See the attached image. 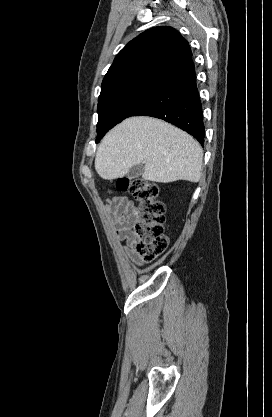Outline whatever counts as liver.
I'll use <instances>...</instances> for the list:
<instances>
[{"label": "liver", "mask_w": 272, "mask_h": 417, "mask_svg": "<svg viewBox=\"0 0 272 417\" xmlns=\"http://www.w3.org/2000/svg\"><path fill=\"white\" fill-rule=\"evenodd\" d=\"M144 164V180L198 182L203 150L186 132L162 120L131 117L110 130L97 148L95 169L105 180L121 178Z\"/></svg>", "instance_id": "obj_1"}]
</instances>
